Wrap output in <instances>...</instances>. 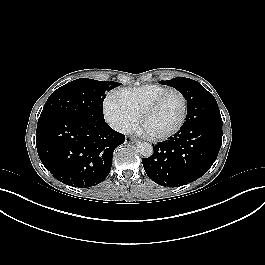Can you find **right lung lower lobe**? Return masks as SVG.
Here are the masks:
<instances>
[{
	"label": "right lung lower lobe",
	"mask_w": 265,
	"mask_h": 265,
	"mask_svg": "<svg viewBox=\"0 0 265 265\" xmlns=\"http://www.w3.org/2000/svg\"><path fill=\"white\" fill-rule=\"evenodd\" d=\"M124 141L123 134L95 116L45 113L36 130L44 167L60 182L80 188L99 184L108 176L113 151Z\"/></svg>",
	"instance_id": "obj_1"
}]
</instances>
